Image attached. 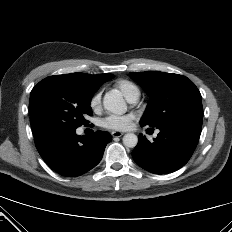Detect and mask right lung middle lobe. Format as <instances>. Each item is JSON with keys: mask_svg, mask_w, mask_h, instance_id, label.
Here are the masks:
<instances>
[{"mask_svg": "<svg viewBox=\"0 0 232 232\" xmlns=\"http://www.w3.org/2000/svg\"><path fill=\"white\" fill-rule=\"evenodd\" d=\"M96 91L88 80L73 73L40 81L30 94L33 134L52 128L76 129L85 124V116L92 115L90 101Z\"/></svg>", "mask_w": 232, "mask_h": 232, "instance_id": "obj_1", "label": "right lung middle lobe"}]
</instances>
